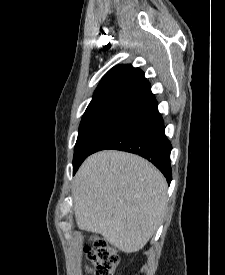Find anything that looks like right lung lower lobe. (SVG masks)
<instances>
[{
  "instance_id": "right-lung-lower-lobe-1",
  "label": "right lung lower lobe",
  "mask_w": 225,
  "mask_h": 275,
  "mask_svg": "<svg viewBox=\"0 0 225 275\" xmlns=\"http://www.w3.org/2000/svg\"><path fill=\"white\" fill-rule=\"evenodd\" d=\"M104 149L138 154L152 162L168 183L172 180V146L165 136L164 122L157 103L126 116L97 143L90 154Z\"/></svg>"
}]
</instances>
